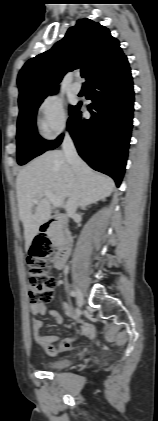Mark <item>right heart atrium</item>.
Returning <instances> with one entry per match:
<instances>
[{"mask_svg":"<svg viewBox=\"0 0 158 421\" xmlns=\"http://www.w3.org/2000/svg\"><path fill=\"white\" fill-rule=\"evenodd\" d=\"M36 120L40 134L46 139H54L65 132L68 115L63 101L55 95L43 98L37 108Z\"/></svg>","mask_w":158,"mask_h":421,"instance_id":"1","label":"right heart atrium"}]
</instances>
